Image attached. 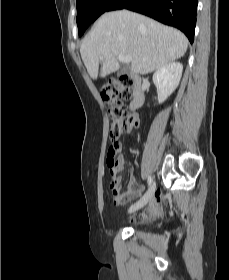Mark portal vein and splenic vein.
I'll return each mask as SVG.
<instances>
[{
    "instance_id": "portal-vein-and-splenic-vein-1",
    "label": "portal vein and splenic vein",
    "mask_w": 229,
    "mask_h": 280,
    "mask_svg": "<svg viewBox=\"0 0 229 280\" xmlns=\"http://www.w3.org/2000/svg\"><path fill=\"white\" fill-rule=\"evenodd\" d=\"M117 59L120 61V62H123L125 64H129L131 62V56H123V55H118L117 56Z\"/></svg>"
}]
</instances>
